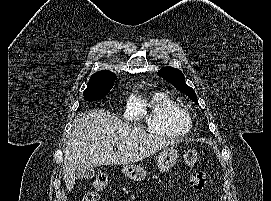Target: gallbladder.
Instances as JSON below:
<instances>
[{"label":"gallbladder","instance_id":"bac80fb5","mask_svg":"<svg viewBox=\"0 0 271 201\" xmlns=\"http://www.w3.org/2000/svg\"><path fill=\"white\" fill-rule=\"evenodd\" d=\"M96 171L93 168L86 167L84 165L77 166L75 170V177L79 180H89L94 178Z\"/></svg>","mask_w":271,"mask_h":201}]
</instances>
